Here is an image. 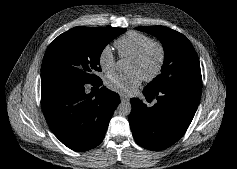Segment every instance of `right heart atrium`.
Segmentation results:
<instances>
[{"instance_id":"right-heart-atrium-1","label":"right heart atrium","mask_w":237,"mask_h":169,"mask_svg":"<svg viewBox=\"0 0 237 169\" xmlns=\"http://www.w3.org/2000/svg\"><path fill=\"white\" fill-rule=\"evenodd\" d=\"M101 68L106 72H111L115 68V56L110 45L104 46L98 56Z\"/></svg>"}]
</instances>
